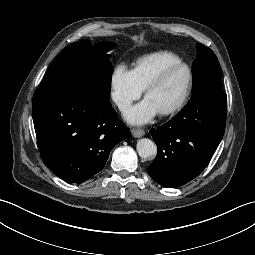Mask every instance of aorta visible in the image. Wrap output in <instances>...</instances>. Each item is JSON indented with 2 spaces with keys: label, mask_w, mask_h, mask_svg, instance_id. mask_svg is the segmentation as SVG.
I'll list each match as a JSON object with an SVG mask.
<instances>
[{
  "label": "aorta",
  "mask_w": 255,
  "mask_h": 255,
  "mask_svg": "<svg viewBox=\"0 0 255 255\" xmlns=\"http://www.w3.org/2000/svg\"><path fill=\"white\" fill-rule=\"evenodd\" d=\"M137 152L141 158H152L157 153V147L153 141L148 138H142L137 142Z\"/></svg>",
  "instance_id": "aorta-1"
}]
</instances>
